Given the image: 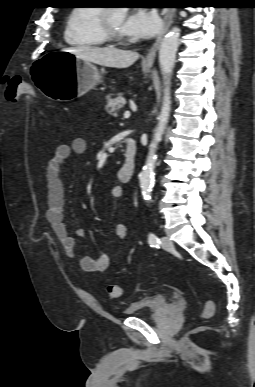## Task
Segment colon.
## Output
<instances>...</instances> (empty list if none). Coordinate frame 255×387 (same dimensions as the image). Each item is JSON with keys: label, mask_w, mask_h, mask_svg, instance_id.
Returning <instances> with one entry per match:
<instances>
[{"label": "colon", "mask_w": 255, "mask_h": 387, "mask_svg": "<svg viewBox=\"0 0 255 387\" xmlns=\"http://www.w3.org/2000/svg\"><path fill=\"white\" fill-rule=\"evenodd\" d=\"M23 94H26L31 98L36 97L35 91L28 83L16 77L10 78L7 81L5 88L6 101L8 103H16ZM107 292L111 298H119L122 294L121 287L117 284H109L107 286ZM214 311L215 305L213 301L206 300L201 317L203 319H208L213 316Z\"/></svg>", "instance_id": "1"}]
</instances>
